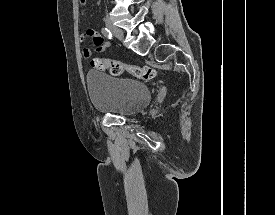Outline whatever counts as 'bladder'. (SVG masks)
I'll list each match as a JSON object with an SVG mask.
<instances>
[{"instance_id": "bladder-1", "label": "bladder", "mask_w": 275, "mask_h": 215, "mask_svg": "<svg viewBox=\"0 0 275 215\" xmlns=\"http://www.w3.org/2000/svg\"><path fill=\"white\" fill-rule=\"evenodd\" d=\"M86 82L96 110L118 116L133 115L148 106L151 91L137 79L109 76L88 71Z\"/></svg>"}]
</instances>
